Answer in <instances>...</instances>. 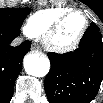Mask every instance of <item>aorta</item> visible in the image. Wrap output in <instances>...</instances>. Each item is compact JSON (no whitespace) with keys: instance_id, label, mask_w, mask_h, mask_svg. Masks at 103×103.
<instances>
[{"instance_id":"762f6f07","label":"aorta","mask_w":103,"mask_h":103,"mask_svg":"<svg viewBox=\"0 0 103 103\" xmlns=\"http://www.w3.org/2000/svg\"><path fill=\"white\" fill-rule=\"evenodd\" d=\"M23 64L27 74L35 77H43L47 75L50 69L49 59L38 54L26 55Z\"/></svg>"}]
</instances>
